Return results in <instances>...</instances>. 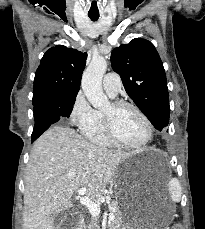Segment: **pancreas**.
Masks as SVG:
<instances>
[{
	"label": "pancreas",
	"mask_w": 205,
	"mask_h": 229,
	"mask_svg": "<svg viewBox=\"0 0 205 229\" xmlns=\"http://www.w3.org/2000/svg\"><path fill=\"white\" fill-rule=\"evenodd\" d=\"M111 213L114 214L115 218L112 220L109 224V229H122V218L120 214V208L118 205V202H113L110 207ZM96 222L91 221V223L88 226V229H95Z\"/></svg>",
	"instance_id": "pancreas-1"
}]
</instances>
